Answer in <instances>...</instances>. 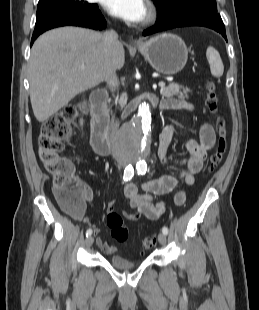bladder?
Masks as SVG:
<instances>
[{
    "instance_id": "31cf9c89",
    "label": "bladder",
    "mask_w": 259,
    "mask_h": 310,
    "mask_svg": "<svg viewBox=\"0 0 259 310\" xmlns=\"http://www.w3.org/2000/svg\"><path fill=\"white\" fill-rule=\"evenodd\" d=\"M108 262L113 267H115L117 269H122V270L132 269V268H134L136 266L135 262L129 261L126 258H124L123 256H120V255H111L108 258Z\"/></svg>"
}]
</instances>
